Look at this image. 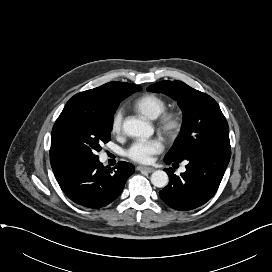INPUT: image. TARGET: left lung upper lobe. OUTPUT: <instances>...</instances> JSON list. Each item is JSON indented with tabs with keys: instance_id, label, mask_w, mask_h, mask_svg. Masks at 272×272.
Instances as JSON below:
<instances>
[{
	"instance_id": "obj_1",
	"label": "left lung upper lobe",
	"mask_w": 272,
	"mask_h": 272,
	"mask_svg": "<svg viewBox=\"0 0 272 272\" xmlns=\"http://www.w3.org/2000/svg\"><path fill=\"white\" fill-rule=\"evenodd\" d=\"M147 90L170 96L183 112L181 131L165 159L181 162L205 150H230L228 123L212 97L181 81H161Z\"/></svg>"
}]
</instances>
